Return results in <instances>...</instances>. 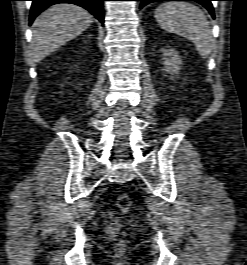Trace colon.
<instances>
[{
  "label": "colon",
  "mask_w": 247,
  "mask_h": 265,
  "mask_svg": "<svg viewBox=\"0 0 247 265\" xmlns=\"http://www.w3.org/2000/svg\"><path fill=\"white\" fill-rule=\"evenodd\" d=\"M116 205L121 212L125 213V212L129 211V209L131 208V205H132V201H131L130 196L127 194H124V193L120 194L116 199ZM125 248H126L125 242L119 241L116 244L115 250L119 253H122L125 251Z\"/></svg>",
  "instance_id": "obj_1"
}]
</instances>
